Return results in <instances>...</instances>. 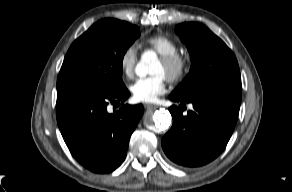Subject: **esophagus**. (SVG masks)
Listing matches in <instances>:
<instances>
[{
	"mask_svg": "<svg viewBox=\"0 0 292 192\" xmlns=\"http://www.w3.org/2000/svg\"><path fill=\"white\" fill-rule=\"evenodd\" d=\"M144 107L146 108V109H155V108H157V106L156 105H154V104H145L144 105Z\"/></svg>",
	"mask_w": 292,
	"mask_h": 192,
	"instance_id": "obj_1",
	"label": "esophagus"
}]
</instances>
